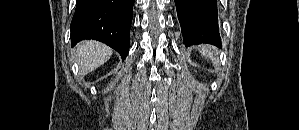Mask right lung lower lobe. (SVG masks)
<instances>
[{"instance_id": "obj_1", "label": "right lung lower lobe", "mask_w": 299, "mask_h": 130, "mask_svg": "<svg viewBox=\"0 0 299 130\" xmlns=\"http://www.w3.org/2000/svg\"><path fill=\"white\" fill-rule=\"evenodd\" d=\"M134 0H77L70 25L71 43L101 41L124 60L129 51Z\"/></svg>"}]
</instances>
